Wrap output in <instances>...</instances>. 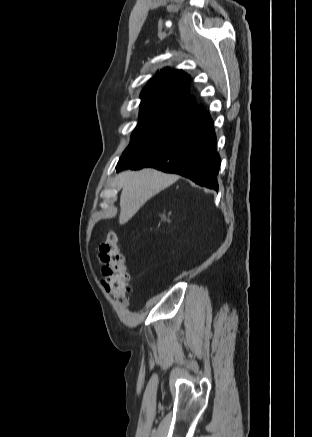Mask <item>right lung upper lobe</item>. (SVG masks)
I'll return each instance as SVG.
<instances>
[{"label":"right lung upper lobe","instance_id":"1","mask_svg":"<svg viewBox=\"0 0 312 437\" xmlns=\"http://www.w3.org/2000/svg\"><path fill=\"white\" fill-rule=\"evenodd\" d=\"M190 76L181 70L156 74L144 87L140 97L141 107L168 106L202 115L205 110L197 105L188 92Z\"/></svg>","mask_w":312,"mask_h":437}]
</instances>
